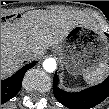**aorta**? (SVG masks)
I'll return each mask as SVG.
<instances>
[{
	"mask_svg": "<svg viewBox=\"0 0 109 109\" xmlns=\"http://www.w3.org/2000/svg\"><path fill=\"white\" fill-rule=\"evenodd\" d=\"M56 61L52 58L46 59L43 62V68L46 72H54L56 70Z\"/></svg>",
	"mask_w": 109,
	"mask_h": 109,
	"instance_id": "obj_1",
	"label": "aorta"
}]
</instances>
